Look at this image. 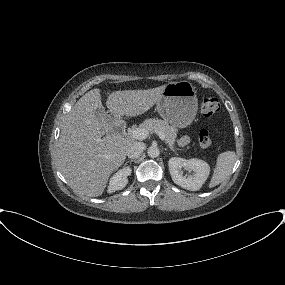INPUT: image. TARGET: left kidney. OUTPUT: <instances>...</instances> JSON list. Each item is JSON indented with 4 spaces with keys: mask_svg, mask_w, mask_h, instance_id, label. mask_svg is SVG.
Masks as SVG:
<instances>
[{
    "mask_svg": "<svg viewBox=\"0 0 285 285\" xmlns=\"http://www.w3.org/2000/svg\"><path fill=\"white\" fill-rule=\"evenodd\" d=\"M170 175L175 184L190 191L199 190L207 180L210 173V166L207 162L192 158L183 159L172 157L168 161ZM182 169L193 171L189 176L183 175Z\"/></svg>",
    "mask_w": 285,
    "mask_h": 285,
    "instance_id": "1",
    "label": "left kidney"
}]
</instances>
